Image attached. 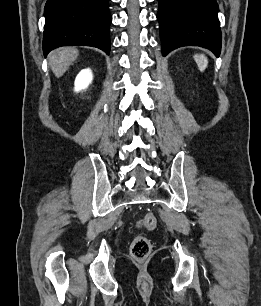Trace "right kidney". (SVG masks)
<instances>
[{"instance_id": "right-kidney-1", "label": "right kidney", "mask_w": 261, "mask_h": 306, "mask_svg": "<svg viewBox=\"0 0 261 306\" xmlns=\"http://www.w3.org/2000/svg\"><path fill=\"white\" fill-rule=\"evenodd\" d=\"M92 79L93 77L90 69L82 70L75 79V91L78 92L86 89L91 83Z\"/></svg>"}]
</instances>
